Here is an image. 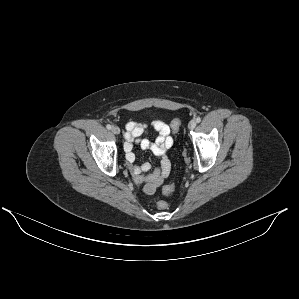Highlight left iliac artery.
<instances>
[{
    "label": "left iliac artery",
    "mask_w": 299,
    "mask_h": 299,
    "mask_svg": "<svg viewBox=\"0 0 299 299\" xmlns=\"http://www.w3.org/2000/svg\"><path fill=\"white\" fill-rule=\"evenodd\" d=\"M200 121H201V118H200V117H197V118H196V122L199 123Z\"/></svg>",
    "instance_id": "left-iliac-artery-1"
}]
</instances>
